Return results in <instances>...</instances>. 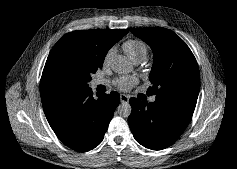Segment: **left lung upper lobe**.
I'll return each instance as SVG.
<instances>
[{
  "instance_id": "1",
  "label": "left lung upper lobe",
  "mask_w": 237,
  "mask_h": 169,
  "mask_svg": "<svg viewBox=\"0 0 237 169\" xmlns=\"http://www.w3.org/2000/svg\"><path fill=\"white\" fill-rule=\"evenodd\" d=\"M153 50L154 63L147 91L156 97H183L197 100L200 89L198 64L186 43L162 27L130 30Z\"/></svg>"
}]
</instances>
